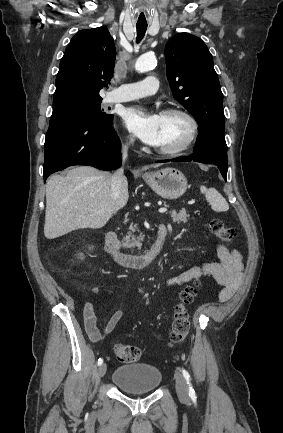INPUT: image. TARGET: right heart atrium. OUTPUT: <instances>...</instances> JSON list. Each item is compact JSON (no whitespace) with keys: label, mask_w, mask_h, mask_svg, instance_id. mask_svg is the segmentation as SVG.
<instances>
[{"label":"right heart atrium","mask_w":283,"mask_h":433,"mask_svg":"<svg viewBox=\"0 0 283 433\" xmlns=\"http://www.w3.org/2000/svg\"><path fill=\"white\" fill-rule=\"evenodd\" d=\"M131 141H132V139L130 137H128L125 143L129 144V143H131Z\"/></svg>","instance_id":"obj_1"}]
</instances>
